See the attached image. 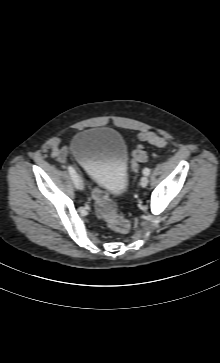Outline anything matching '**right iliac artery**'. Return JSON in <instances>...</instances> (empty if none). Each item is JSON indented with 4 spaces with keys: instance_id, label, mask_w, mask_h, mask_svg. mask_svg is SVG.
Here are the masks:
<instances>
[{
    "instance_id": "obj_1",
    "label": "right iliac artery",
    "mask_w": 220,
    "mask_h": 363,
    "mask_svg": "<svg viewBox=\"0 0 220 363\" xmlns=\"http://www.w3.org/2000/svg\"><path fill=\"white\" fill-rule=\"evenodd\" d=\"M68 172H69L72 180L74 181V184L77 187V173H76L75 169L72 166H68Z\"/></svg>"
}]
</instances>
